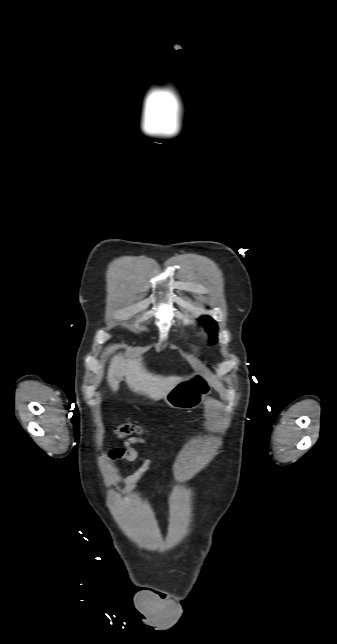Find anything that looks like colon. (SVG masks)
I'll list each match as a JSON object with an SVG mask.
<instances>
[{
  "instance_id": "colon-1",
  "label": "colon",
  "mask_w": 337,
  "mask_h": 644,
  "mask_svg": "<svg viewBox=\"0 0 337 644\" xmlns=\"http://www.w3.org/2000/svg\"><path fill=\"white\" fill-rule=\"evenodd\" d=\"M142 428L133 423H123L115 429L118 438H124L132 434H141Z\"/></svg>"
}]
</instances>
